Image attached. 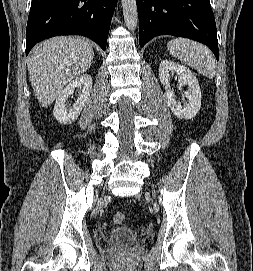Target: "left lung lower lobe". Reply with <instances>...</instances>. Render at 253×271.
Segmentation results:
<instances>
[{"label": "left lung lower lobe", "mask_w": 253, "mask_h": 271, "mask_svg": "<svg viewBox=\"0 0 253 271\" xmlns=\"http://www.w3.org/2000/svg\"><path fill=\"white\" fill-rule=\"evenodd\" d=\"M139 44L174 35L206 44L219 59L217 30L209 0H136Z\"/></svg>", "instance_id": "1"}]
</instances>
